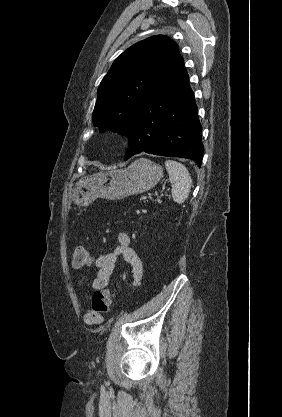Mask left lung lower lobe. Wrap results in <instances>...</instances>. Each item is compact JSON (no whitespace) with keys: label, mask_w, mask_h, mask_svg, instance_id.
Returning a JSON list of instances; mask_svg holds the SVG:
<instances>
[{"label":"left lung lower lobe","mask_w":282,"mask_h":417,"mask_svg":"<svg viewBox=\"0 0 282 417\" xmlns=\"http://www.w3.org/2000/svg\"><path fill=\"white\" fill-rule=\"evenodd\" d=\"M126 135L130 148L124 160L146 152L192 159L201 166V124L182 58L139 106Z\"/></svg>","instance_id":"0a47b994"}]
</instances>
